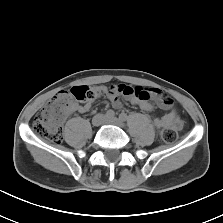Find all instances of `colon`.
Returning <instances> with one entry per match:
<instances>
[{"label":"colon","instance_id":"obj_1","mask_svg":"<svg viewBox=\"0 0 223 223\" xmlns=\"http://www.w3.org/2000/svg\"><path fill=\"white\" fill-rule=\"evenodd\" d=\"M114 87H110L108 92L116 91ZM121 90V88H118ZM104 91H98L89 86H76L68 91H61L56 94L34 117L32 122V130L39 137L58 144L62 139V122L72 109L75 102L91 101ZM127 94H132L139 100H147L149 91L141 88H126ZM163 140L172 144L176 142L178 134L176 129L167 125L162 131Z\"/></svg>","mask_w":223,"mask_h":223}]
</instances>
